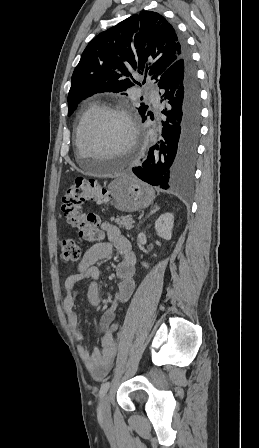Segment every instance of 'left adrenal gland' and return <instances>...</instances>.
I'll list each match as a JSON object with an SVG mask.
<instances>
[{
    "label": "left adrenal gland",
    "instance_id": "1",
    "mask_svg": "<svg viewBox=\"0 0 259 448\" xmlns=\"http://www.w3.org/2000/svg\"><path fill=\"white\" fill-rule=\"evenodd\" d=\"M157 210H160V208H158V206H155V210H151L149 216H152V214H155V212H157ZM149 216H147V218H149Z\"/></svg>",
    "mask_w": 259,
    "mask_h": 448
}]
</instances>
